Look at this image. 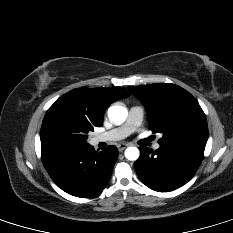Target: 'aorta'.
<instances>
[{"instance_id": "obj_1", "label": "aorta", "mask_w": 233, "mask_h": 233, "mask_svg": "<svg viewBox=\"0 0 233 233\" xmlns=\"http://www.w3.org/2000/svg\"><path fill=\"white\" fill-rule=\"evenodd\" d=\"M128 116V111L120 105H113L108 109V117L115 124H122ZM139 149L137 147H128L125 150V157L130 161H136L139 158Z\"/></svg>"}]
</instances>
